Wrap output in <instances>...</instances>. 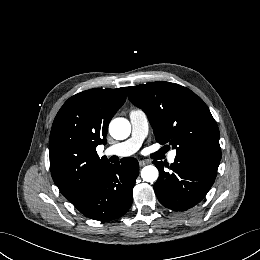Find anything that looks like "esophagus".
I'll return each mask as SVG.
<instances>
[{"instance_id": "esophagus-1", "label": "esophagus", "mask_w": 260, "mask_h": 260, "mask_svg": "<svg viewBox=\"0 0 260 260\" xmlns=\"http://www.w3.org/2000/svg\"><path fill=\"white\" fill-rule=\"evenodd\" d=\"M150 162L148 161V160H140L139 161V165L141 166V167H143V166H145V165H147V164H149Z\"/></svg>"}]
</instances>
